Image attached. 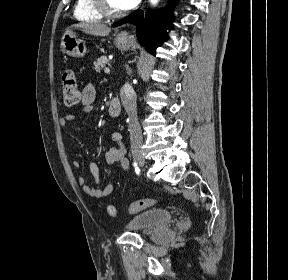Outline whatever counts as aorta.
<instances>
[{
	"label": "aorta",
	"mask_w": 288,
	"mask_h": 280,
	"mask_svg": "<svg viewBox=\"0 0 288 280\" xmlns=\"http://www.w3.org/2000/svg\"><path fill=\"white\" fill-rule=\"evenodd\" d=\"M150 2L152 5H156L159 2V0H150Z\"/></svg>",
	"instance_id": "aorta-1"
}]
</instances>
